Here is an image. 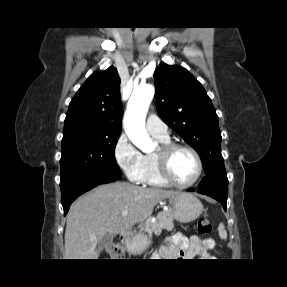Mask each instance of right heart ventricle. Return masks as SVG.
<instances>
[{
  "label": "right heart ventricle",
  "mask_w": 287,
  "mask_h": 287,
  "mask_svg": "<svg viewBox=\"0 0 287 287\" xmlns=\"http://www.w3.org/2000/svg\"><path fill=\"white\" fill-rule=\"evenodd\" d=\"M158 140L163 145L170 143L169 138ZM140 183L156 187H168L171 185L161 176L154 153L143 155V171Z\"/></svg>",
  "instance_id": "right-heart-ventricle-1"
}]
</instances>
